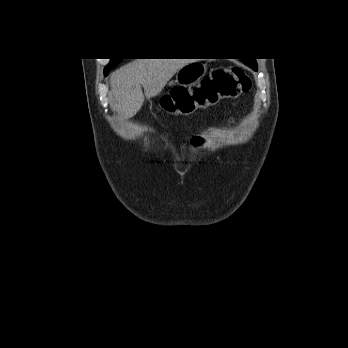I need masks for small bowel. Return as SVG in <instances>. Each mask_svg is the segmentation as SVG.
<instances>
[{
  "instance_id": "obj_1",
  "label": "small bowel",
  "mask_w": 348,
  "mask_h": 348,
  "mask_svg": "<svg viewBox=\"0 0 348 348\" xmlns=\"http://www.w3.org/2000/svg\"><path fill=\"white\" fill-rule=\"evenodd\" d=\"M203 142L200 138L198 137H195L192 139V145L195 146V147H199V146H202Z\"/></svg>"
}]
</instances>
